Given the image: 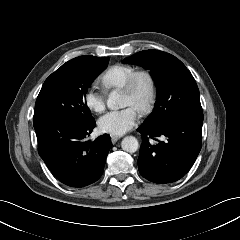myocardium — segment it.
I'll use <instances>...</instances> for the list:
<instances>
[{
    "mask_svg": "<svg viewBox=\"0 0 240 240\" xmlns=\"http://www.w3.org/2000/svg\"><path fill=\"white\" fill-rule=\"evenodd\" d=\"M141 78L147 79L149 83V95L145 104L140 108L138 113L140 115H146L151 111L157 96V82L152 72L146 69L135 70L127 79L125 85L121 89V92L126 94L133 93L136 89L138 81Z\"/></svg>",
    "mask_w": 240,
    "mask_h": 240,
    "instance_id": "1",
    "label": "myocardium"
}]
</instances>
